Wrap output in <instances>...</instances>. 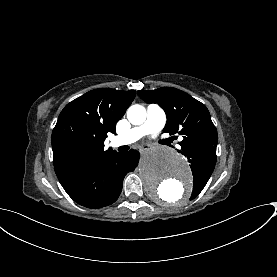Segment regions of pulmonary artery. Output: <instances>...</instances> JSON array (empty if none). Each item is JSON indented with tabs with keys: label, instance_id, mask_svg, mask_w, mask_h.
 Here are the masks:
<instances>
[{
	"label": "pulmonary artery",
	"instance_id": "obj_1",
	"mask_svg": "<svg viewBox=\"0 0 277 277\" xmlns=\"http://www.w3.org/2000/svg\"><path fill=\"white\" fill-rule=\"evenodd\" d=\"M166 123V115L158 106H151L144 112V120L131 130L116 137L114 145H128L139 140L148 133L159 132Z\"/></svg>",
	"mask_w": 277,
	"mask_h": 277
}]
</instances>
